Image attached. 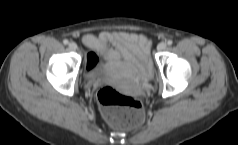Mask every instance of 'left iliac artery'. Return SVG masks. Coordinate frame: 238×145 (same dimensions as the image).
I'll list each match as a JSON object with an SVG mask.
<instances>
[{"mask_svg": "<svg viewBox=\"0 0 238 145\" xmlns=\"http://www.w3.org/2000/svg\"><path fill=\"white\" fill-rule=\"evenodd\" d=\"M167 44L170 46V45L173 44V41L170 39V40L167 41Z\"/></svg>", "mask_w": 238, "mask_h": 145, "instance_id": "obj_1", "label": "left iliac artery"}]
</instances>
